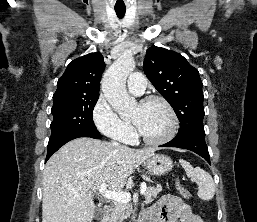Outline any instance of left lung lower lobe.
<instances>
[{
    "label": "left lung lower lobe",
    "instance_id": "left-lung-lower-lobe-1",
    "mask_svg": "<svg viewBox=\"0 0 257 222\" xmlns=\"http://www.w3.org/2000/svg\"><path fill=\"white\" fill-rule=\"evenodd\" d=\"M161 147H177L191 150L202 156L210 164V155L205 143L204 135H188L185 137H175L170 142L161 145Z\"/></svg>",
    "mask_w": 257,
    "mask_h": 222
}]
</instances>
